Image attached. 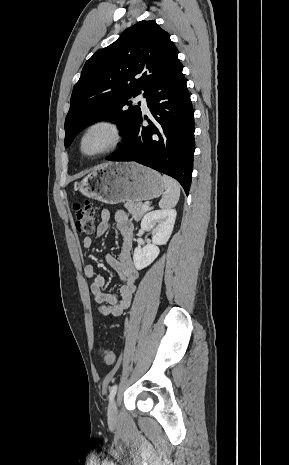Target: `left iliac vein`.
Segmentation results:
<instances>
[{"instance_id": "4c4485c4", "label": "left iliac vein", "mask_w": 289, "mask_h": 465, "mask_svg": "<svg viewBox=\"0 0 289 465\" xmlns=\"http://www.w3.org/2000/svg\"><path fill=\"white\" fill-rule=\"evenodd\" d=\"M108 419L112 423H114L117 420V403L115 400H112L109 404Z\"/></svg>"}]
</instances>
